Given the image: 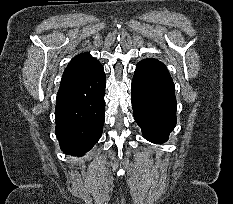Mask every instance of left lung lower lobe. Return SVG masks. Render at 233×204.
Returning <instances> with one entry per match:
<instances>
[{
    "instance_id": "left-lung-lower-lobe-1",
    "label": "left lung lower lobe",
    "mask_w": 233,
    "mask_h": 204,
    "mask_svg": "<svg viewBox=\"0 0 233 204\" xmlns=\"http://www.w3.org/2000/svg\"><path fill=\"white\" fill-rule=\"evenodd\" d=\"M134 117L145 139L167 141L176 125V97L173 80L166 66L157 59L140 61L132 81Z\"/></svg>"
}]
</instances>
